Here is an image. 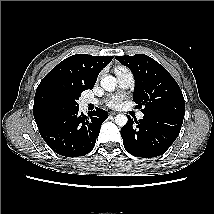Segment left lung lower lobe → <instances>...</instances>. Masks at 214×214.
<instances>
[{
  "label": "left lung lower lobe",
  "instance_id": "0a47b994",
  "mask_svg": "<svg viewBox=\"0 0 214 214\" xmlns=\"http://www.w3.org/2000/svg\"><path fill=\"white\" fill-rule=\"evenodd\" d=\"M182 123L183 119L167 115L144 114L140 120L128 117L121 129L124 147L133 156H159L175 141Z\"/></svg>",
  "mask_w": 214,
  "mask_h": 214
}]
</instances>
